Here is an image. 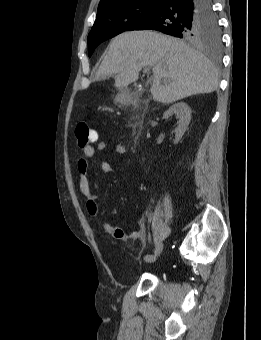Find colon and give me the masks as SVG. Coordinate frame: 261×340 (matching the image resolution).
Here are the masks:
<instances>
[{
    "label": "colon",
    "instance_id": "1",
    "mask_svg": "<svg viewBox=\"0 0 261 340\" xmlns=\"http://www.w3.org/2000/svg\"><path fill=\"white\" fill-rule=\"evenodd\" d=\"M75 135L80 146H85L98 139V133L91 129L86 122H79L77 124Z\"/></svg>",
    "mask_w": 261,
    "mask_h": 340
}]
</instances>
